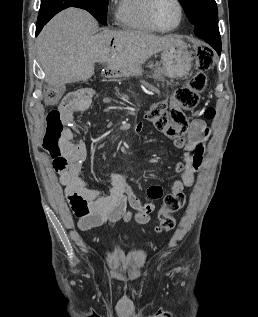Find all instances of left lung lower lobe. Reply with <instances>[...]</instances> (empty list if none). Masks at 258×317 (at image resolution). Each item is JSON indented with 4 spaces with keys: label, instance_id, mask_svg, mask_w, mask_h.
<instances>
[{
    "label": "left lung lower lobe",
    "instance_id": "1",
    "mask_svg": "<svg viewBox=\"0 0 258 317\" xmlns=\"http://www.w3.org/2000/svg\"><path fill=\"white\" fill-rule=\"evenodd\" d=\"M194 33L197 37L209 43L216 52L221 53V40L218 28L215 27H196Z\"/></svg>",
    "mask_w": 258,
    "mask_h": 317
}]
</instances>
